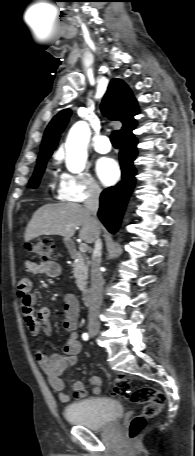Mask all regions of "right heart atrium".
I'll use <instances>...</instances> for the list:
<instances>
[{"label":"right heart atrium","mask_w":195,"mask_h":456,"mask_svg":"<svg viewBox=\"0 0 195 456\" xmlns=\"http://www.w3.org/2000/svg\"><path fill=\"white\" fill-rule=\"evenodd\" d=\"M101 187L96 180L86 172L79 174L63 173L57 187V197L66 202H84L100 196Z\"/></svg>","instance_id":"right-heart-atrium-1"}]
</instances>
